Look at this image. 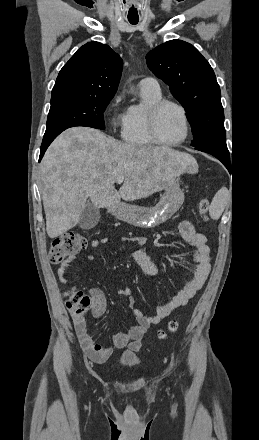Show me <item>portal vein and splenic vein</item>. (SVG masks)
<instances>
[{
    "label": "portal vein and splenic vein",
    "instance_id": "18ae733b",
    "mask_svg": "<svg viewBox=\"0 0 259 440\" xmlns=\"http://www.w3.org/2000/svg\"><path fill=\"white\" fill-rule=\"evenodd\" d=\"M124 181V176L119 175L116 179V183L121 184Z\"/></svg>",
    "mask_w": 259,
    "mask_h": 440
}]
</instances>
